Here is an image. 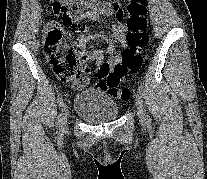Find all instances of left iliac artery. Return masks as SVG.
Returning <instances> with one entry per match:
<instances>
[{
    "instance_id": "obj_1",
    "label": "left iliac artery",
    "mask_w": 207,
    "mask_h": 179,
    "mask_svg": "<svg viewBox=\"0 0 207 179\" xmlns=\"http://www.w3.org/2000/svg\"><path fill=\"white\" fill-rule=\"evenodd\" d=\"M138 90H139V93L141 94V97H142L144 95V92H145L143 85H139ZM146 117H147V121H151L150 116L146 115Z\"/></svg>"
}]
</instances>
